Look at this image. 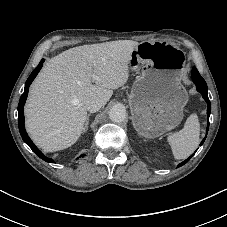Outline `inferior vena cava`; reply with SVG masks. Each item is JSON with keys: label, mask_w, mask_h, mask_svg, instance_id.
Segmentation results:
<instances>
[{"label": "inferior vena cava", "mask_w": 227, "mask_h": 227, "mask_svg": "<svg viewBox=\"0 0 227 227\" xmlns=\"http://www.w3.org/2000/svg\"><path fill=\"white\" fill-rule=\"evenodd\" d=\"M104 105L103 100L100 98H90L86 101L85 107L90 112H96L101 109V107Z\"/></svg>", "instance_id": "inferior-vena-cava-1"}]
</instances>
